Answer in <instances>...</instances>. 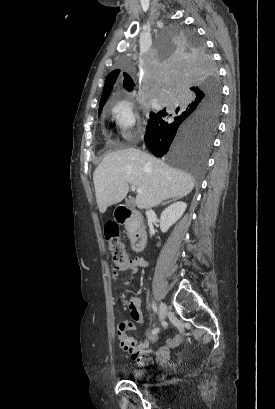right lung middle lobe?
<instances>
[{
    "label": "right lung middle lobe",
    "mask_w": 275,
    "mask_h": 409,
    "mask_svg": "<svg viewBox=\"0 0 275 409\" xmlns=\"http://www.w3.org/2000/svg\"><path fill=\"white\" fill-rule=\"evenodd\" d=\"M153 51H170L161 60L164 70H155L148 91H193L184 96H143L151 113L145 142L154 156L168 167H180L205 182L203 168L212 148L220 115L221 87L217 70L205 42L191 24H170L151 38ZM142 58V51L133 53ZM132 57H121L116 73L135 70ZM102 110H99L100 115ZM195 188L200 184L195 183Z\"/></svg>",
    "instance_id": "right-lung-middle-lobe-1"
}]
</instances>
